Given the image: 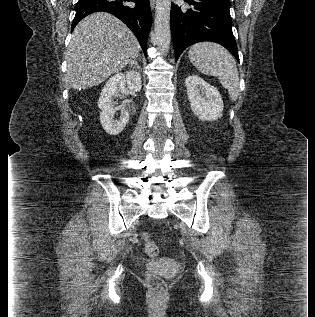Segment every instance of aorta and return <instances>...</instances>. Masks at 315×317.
<instances>
[{
  "label": "aorta",
  "mask_w": 315,
  "mask_h": 317,
  "mask_svg": "<svg viewBox=\"0 0 315 317\" xmlns=\"http://www.w3.org/2000/svg\"><path fill=\"white\" fill-rule=\"evenodd\" d=\"M170 10V0H156L155 38L159 49L163 53L168 52L171 42Z\"/></svg>",
  "instance_id": "1"
}]
</instances>
